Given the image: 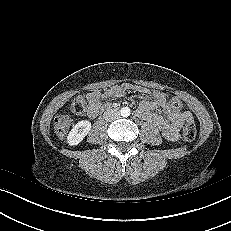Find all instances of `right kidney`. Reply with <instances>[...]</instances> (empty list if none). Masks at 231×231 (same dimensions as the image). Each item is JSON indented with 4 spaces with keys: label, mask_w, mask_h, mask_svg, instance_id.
<instances>
[{
    "label": "right kidney",
    "mask_w": 231,
    "mask_h": 231,
    "mask_svg": "<svg viewBox=\"0 0 231 231\" xmlns=\"http://www.w3.org/2000/svg\"><path fill=\"white\" fill-rule=\"evenodd\" d=\"M91 130V123L88 120H81L73 126L67 136L69 145H78Z\"/></svg>",
    "instance_id": "right-kidney-1"
}]
</instances>
